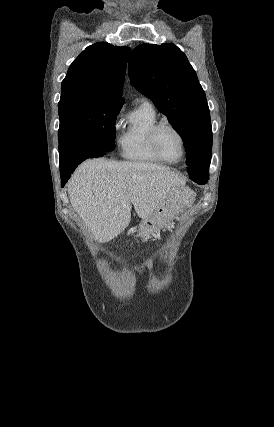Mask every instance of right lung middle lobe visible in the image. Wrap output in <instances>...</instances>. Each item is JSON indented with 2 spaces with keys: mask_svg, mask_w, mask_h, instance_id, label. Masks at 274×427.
<instances>
[{
  "mask_svg": "<svg viewBox=\"0 0 274 427\" xmlns=\"http://www.w3.org/2000/svg\"><path fill=\"white\" fill-rule=\"evenodd\" d=\"M122 101H85L59 107V162L66 166L115 147V121Z\"/></svg>",
  "mask_w": 274,
  "mask_h": 427,
  "instance_id": "1",
  "label": "right lung middle lobe"
}]
</instances>
